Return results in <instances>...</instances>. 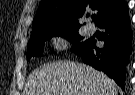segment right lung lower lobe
<instances>
[{"label": "right lung lower lobe", "instance_id": "right-lung-lower-lobe-1", "mask_svg": "<svg viewBox=\"0 0 135 95\" xmlns=\"http://www.w3.org/2000/svg\"><path fill=\"white\" fill-rule=\"evenodd\" d=\"M128 14L116 20L105 21L99 27L104 30L99 40L103 47L96 46V40L88 39L87 43L75 51L84 63L91 65L124 88L125 66L131 52V30Z\"/></svg>", "mask_w": 135, "mask_h": 95}]
</instances>
